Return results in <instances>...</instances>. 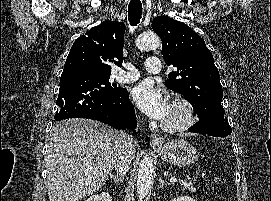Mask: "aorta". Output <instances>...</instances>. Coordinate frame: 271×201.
I'll return each instance as SVG.
<instances>
[{
	"mask_svg": "<svg viewBox=\"0 0 271 201\" xmlns=\"http://www.w3.org/2000/svg\"><path fill=\"white\" fill-rule=\"evenodd\" d=\"M136 45L140 50H154L160 46V38L153 32H145L141 34L137 40ZM153 179V163L151 157L145 155L140 161L138 175H137V193L139 199L142 201L143 198L148 194Z\"/></svg>",
	"mask_w": 271,
	"mask_h": 201,
	"instance_id": "1",
	"label": "aorta"
}]
</instances>
